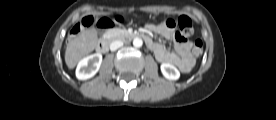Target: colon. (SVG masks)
Returning <instances> with one entry per match:
<instances>
[{
    "mask_svg": "<svg viewBox=\"0 0 276 120\" xmlns=\"http://www.w3.org/2000/svg\"><path fill=\"white\" fill-rule=\"evenodd\" d=\"M93 22V17L91 15H85L83 19H80L78 23H74L69 27V33L71 35H76L81 28L89 27ZM127 24V19L123 15L114 14L111 16V18L107 17H101L97 21V26L101 30H107L110 28V26H114L117 28H123ZM163 24L169 28L174 27L176 24L178 26L179 32L178 35L181 38H186L190 35H192L194 31L193 22L188 16H180L177 20V23L175 21L168 19L163 22ZM203 53V42L201 40H195L192 44V54L195 57H200Z\"/></svg>",
    "mask_w": 276,
    "mask_h": 120,
    "instance_id": "colon-1",
    "label": "colon"
}]
</instances>
